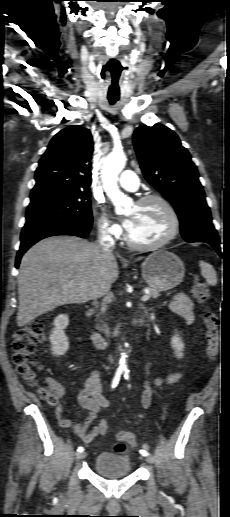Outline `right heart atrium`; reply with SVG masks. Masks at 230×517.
<instances>
[{"instance_id":"right-heart-atrium-1","label":"right heart atrium","mask_w":230,"mask_h":517,"mask_svg":"<svg viewBox=\"0 0 230 517\" xmlns=\"http://www.w3.org/2000/svg\"><path fill=\"white\" fill-rule=\"evenodd\" d=\"M97 227L103 238L115 239L121 235V227L102 211L98 213Z\"/></svg>"}]
</instances>
